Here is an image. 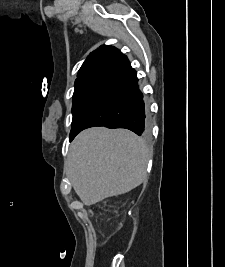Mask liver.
Listing matches in <instances>:
<instances>
[{"label": "liver", "instance_id": "liver-1", "mask_svg": "<svg viewBox=\"0 0 225 267\" xmlns=\"http://www.w3.org/2000/svg\"><path fill=\"white\" fill-rule=\"evenodd\" d=\"M149 158L148 146L133 132L93 127L71 143L67 174L82 202L91 206L143 183Z\"/></svg>", "mask_w": 225, "mask_h": 267}]
</instances>
